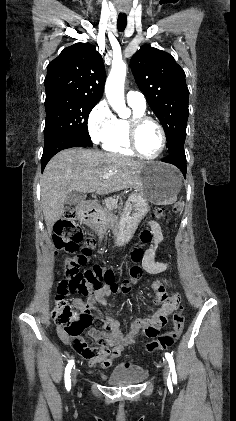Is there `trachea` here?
Here are the masks:
<instances>
[{"label":"trachea","mask_w":236,"mask_h":421,"mask_svg":"<svg viewBox=\"0 0 236 421\" xmlns=\"http://www.w3.org/2000/svg\"><path fill=\"white\" fill-rule=\"evenodd\" d=\"M127 24V16L126 15H119L117 19V28L119 32H123L126 28Z\"/></svg>","instance_id":"1"}]
</instances>
